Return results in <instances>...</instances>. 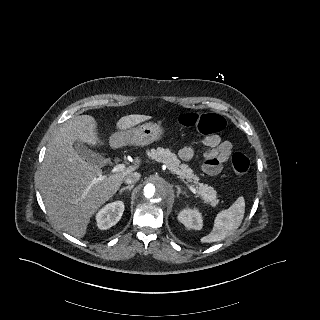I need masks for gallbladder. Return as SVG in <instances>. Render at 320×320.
Instances as JSON below:
<instances>
[{
	"label": "gallbladder",
	"mask_w": 320,
	"mask_h": 320,
	"mask_svg": "<svg viewBox=\"0 0 320 320\" xmlns=\"http://www.w3.org/2000/svg\"><path fill=\"white\" fill-rule=\"evenodd\" d=\"M73 148L76 151V153L89 164L98 165L100 163V156L97 153L90 150L82 142L75 141L73 143Z\"/></svg>",
	"instance_id": "bac80fb5"
}]
</instances>
